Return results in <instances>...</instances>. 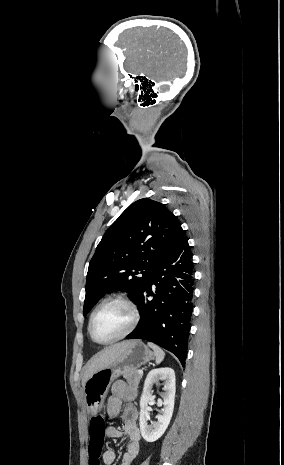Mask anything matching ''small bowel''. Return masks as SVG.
Segmentation results:
<instances>
[{"label":"small bowel","mask_w":284,"mask_h":465,"mask_svg":"<svg viewBox=\"0 0 284 465\" xmlns=\"http://www.w3.org/2000/svg\"><path fill=\"white\" fill-rule=\"evenodd\" d=\"M137 392L124 381L118 380L111 387V394L107 400V413L110 418L121 416L123 432L117 427L110 426L106 430L108 437L119 439L123 433L128 437V442L121 458V465H132L140 452V430L137 425L138 410L133 402ZM116 460V452L108 449L103 455L105 465H113Z\"/></svg>","instance_id":"small-bowel-1"}]
</instances>
